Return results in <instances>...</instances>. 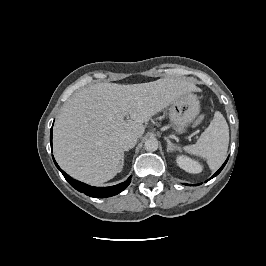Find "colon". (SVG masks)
Returning a JSON list of instances; mask_svg holds the SVG:
<instances>
[{
    "instance_id": "5ec220e1",
    "label": "colon",
    "mask_w": 266,
    "mask_h": 266,
    "mask_svg": "<svg viewBox=\"0 0 266 266\" xmlns=\"http://www.w3.org/2000/svg\"><path fill=\"white\" fill-rule=\"evenodd\" d=\"M202 120H203V116L198 117V118L194 121V125H197V124L201 123Z\"/></svg>"
}]
</instances>
